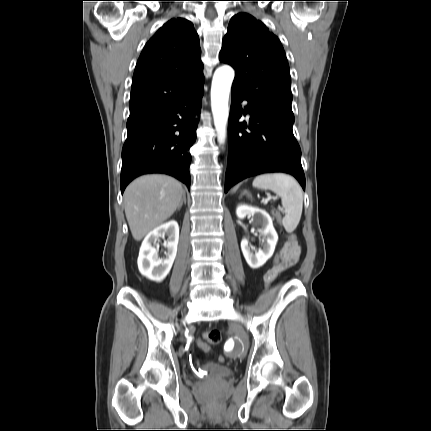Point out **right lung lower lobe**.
I'll return each mask as SVG.
<instances>
[{"label": "right lung lower lobe", "mask_w": 431, "mask_h": 431, "mask_svg": "<svg viewBox=\"0 0 431 431\" xmlns=\"http://www.w3.org/2000/svg\"><path fill=\"white\" fill-rule=\"evenodd\" d=\"M203 82L177 100L134 115L127 120L122 149L121 192L136 177L165 173L190 189V147L196 140Z\"/></svg>", "instance_id": "obj_1"}]
</instances>
